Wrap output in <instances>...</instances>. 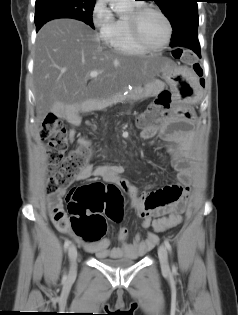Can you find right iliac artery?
<instances>
[{
    "label": "right iliac artery",
    "mask_w": 238,
    "mask_h": 315,
    "mask_svg": "<svg viewBox=\"0 0 238 315\" xmlns=\"http://www.w3.org/2000/svg\"><path fill=\"white\" fill-rule=\"evenodd\" d=\"M70 243H71V241H70L69 239H66V240H65V242H64V249H65V250L68 249ZM66 278H67V276L64 275V276H63V279L66 280Z\"/></svg>",
    "instance_id": "obj_1"
}]
</instances>
